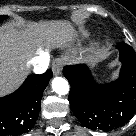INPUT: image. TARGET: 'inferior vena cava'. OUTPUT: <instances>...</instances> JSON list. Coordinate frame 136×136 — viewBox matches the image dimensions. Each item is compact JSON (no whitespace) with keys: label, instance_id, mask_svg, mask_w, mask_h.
<instances>
[{"label":"inferior vena cava","instance_id":"602c4592","mask_svg":"<svg viewBox=\"0 0 136 136\" xmlns=\"http://www.w3.org/2000/svg\"><path fill=\"white\" fill-rule=\"evenodd\" d=\"M31 64L36 74L44 73L49 65V55L43 53L39 56H36L32 59Z\"/></svg>","mask_w":136,"mask_h":136}]
</instances>
